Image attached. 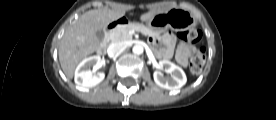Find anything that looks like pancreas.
I'll return each mask as SVG.
<instances>
[{
	"label": "pancreas",
	"mask_w": 276,
	"mask_h": 120,
	"mask_svg": "<svg viewBox=\"0 0 276 120\" xmlns=\"http://www.w3.org/2000/svg\"><path fill=\"white\" fill-rule=\"evenodd\" d=\"M130 30L141 32L143 35H146V36H154L156 34L155 32H153L148 27L142 24L129 23L127 25H123L115 28L111 33V41L118 42V41L130 40L132 38V36L129 34Z\"/></svg>",
	"instance_id": "pancreas-1"
}]
</instances>
